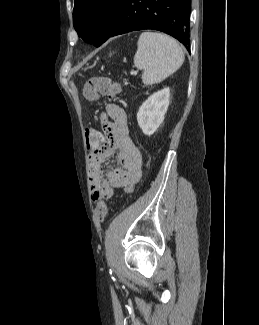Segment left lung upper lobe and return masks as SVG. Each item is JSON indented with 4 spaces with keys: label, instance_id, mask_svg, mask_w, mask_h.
Segmentation results:
<instances>
[{
    "label": "left lung upper lobe",
    "instance_id": "5c2ea615",
    "mask_svg": "<svg viewBox=\"0 0 259 325\" xmlns=\"http://www.w3.org/2000/svg\"><path fill=\"white\" fill-rule=\"evenodd\" d=\"M123 0H75L73 25L85 42H105Z\"/></svg>",
    "mask_w": 259,
    "mask_h": 325
}]
</instances>
